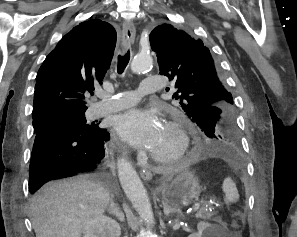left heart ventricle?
I'll return each mask as SVG.
<instances>
[{"instance_id":"obj_1","label":"left heart ventricle","mask_w":297,"mask_h":237,"mask_svg":"<svg viewBox=\"0 0 297 237\" xmlns=\"http://www.w3.org/2000/svg\"><path fill=\"white\" fill-rule=\"evenodd\" d=\"M178 146V137L166 125H163L161 134L151 152L156 155L167 156L176 152Z\"/></svg>"}]
</instances>
